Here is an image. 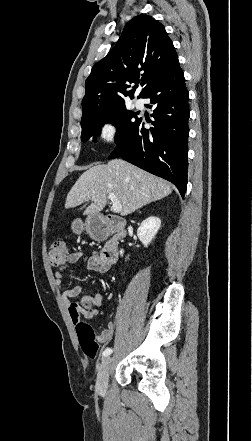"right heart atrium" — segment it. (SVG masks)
<instances>
[{"label": "right heart atrium", "instance_id": "obj_1", "mask_svg": "<svg viewBox=\"0 0 252 441\" xmlns=\"http://www.w3.org/2000/svg\"><path fill=\"white\" fill-rule=\"evenodd\" d=\"M118 134V127L115 123L104 122L99 129V139L105 144L114 142Z\"/></svg>", "mask_w": 252, "mask_h": 441}]
</instances>
